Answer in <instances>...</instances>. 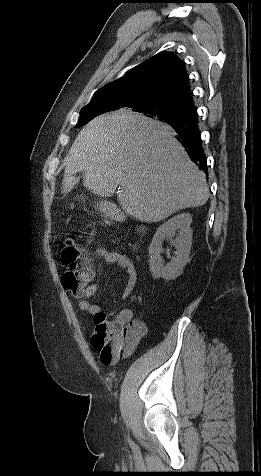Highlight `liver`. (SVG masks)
<instances>
[{"label": "liver", "mask_w": 261, "mask_h": 476, "mask_svg": "<svg viewBox=\"0 0 261 476\" xmlns=\"http://www.w3.org/2000/svg\"><path fill=\"white\" fill-rule=\"evenodd\" d=\"M63 193L79 182L94 194L111 196L141 222H158L176 211L204 205L209 189L204 172L190 160L172 129L131 111L91 120L65 158Z\"/></svg>", "instance_id": "1"}]
</instances>
